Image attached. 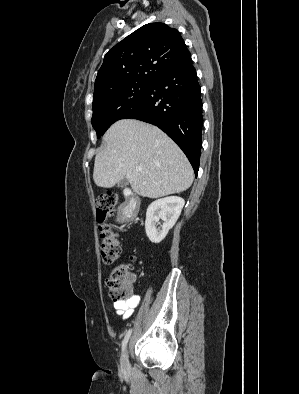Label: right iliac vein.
Wrapping results in <instances>:
<instances>
[{
    "label": "right iliac vein",
    "instance_id": "right-iliac-vein-1",
    "mask_svg": "<svg viewBox=\"0 0 299 394\" xmlns=\"http://www.w3.org/2000/svg\"><path fill=\"white\" fill-rule=\"evenodd\" d=\"M121 367L124 370H127L129 367L128 352L126 349L123 351L122 356H121Z\"/></svg>",
    "mask_w": 299,
    "mask_h": 394
}]
</instances>
